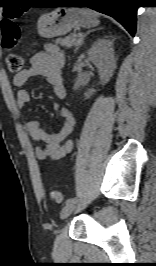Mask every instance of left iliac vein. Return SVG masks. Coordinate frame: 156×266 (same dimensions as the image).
<instances>
[{"mask_svg": "<svg viewBox=\"0 0 156 266\" xmlns=\"http://www.w3.org/2000/svg\"><path fill=\"white\" fill-rule=\"evenodd\" d=\"M74 210H75V203L66 204L61 210L60 213L61 218L62 219L67 218L73 213Z\"/></svg>", "mask_w": 156, "mask_h": 266, "instance_id": "1", "label": "left iliac vein"}]
</instances>
